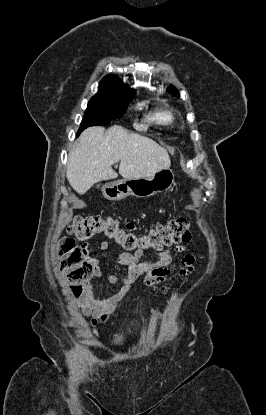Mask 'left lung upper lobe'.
<instances>
[{
    "instance_id": "5c2ea615",
    "label": "left lung upper lobe",
    "mask_w": 266,
    "mask_h": 415,
    "mask_svg": "<svg viewBox=\"0 0 266 415\" xmlns=\"http://www.w3.org/2000/svg\"><path fill=\"white\" fill-rule=\"evenodd\" d=\"M172 95H175V96H177V97H179V92L177 91V89L174 87V86H172V85H170L169 87H168V89H167Z\"/></svg>"
}]
</instances>
